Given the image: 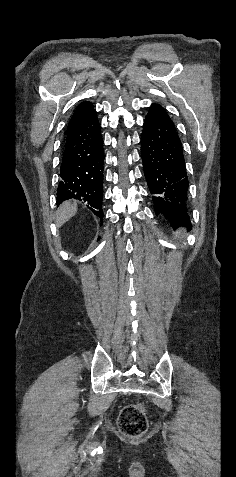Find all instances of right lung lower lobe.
<instances>
[{
	"instance_id": "right-lung-lower-lobe-1",
	"label": "right lung lower lobe",
	"mask_w": 236,
	"mask_h": 477,
	"mask_svg": "<svg viewBox=\"0 0 236 477\" xmlns=\"http://www.w3.org/2000/svg\"><path fill=\"white\" fill-rule=\"evenodd\" d=\"M103 140L96 111L77 129L67 133L57 188V205L68 199L87 202L103 218Z\"/></svg>"
}]
</instances>
